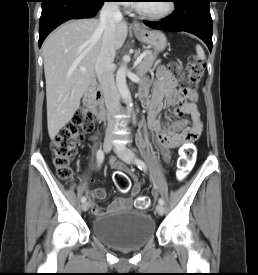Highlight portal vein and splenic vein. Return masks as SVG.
Returning a JSON list of instances; mask_svg holds the SVG:
<instances>
[{
  "label": "portal vein and splenic vein",
  "mask_w": 258,
  "mask_h": 275,
  "mask_svg": "<svg viewBox=\"0 0 258 275\" xmlns=\"http://www.w3.org/2000/svg\"><path fill=\"white\" fill-rule=\"evenodd\" d=\"M147 53H149V52H148V51L143 52V53L136 59V61H135V63H134V67H136V66L142 61L143 57H144ZM81 71H86V69H85V68H81Z\"/></svg>",
  "instance_id": "18ae733b"
}]
</instances>
